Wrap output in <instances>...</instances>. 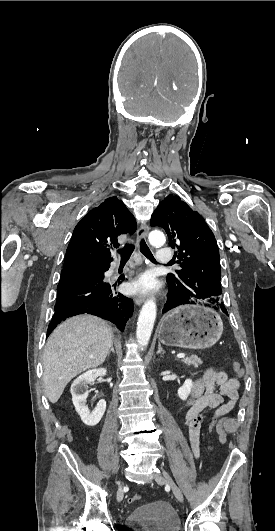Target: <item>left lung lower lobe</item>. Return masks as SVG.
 <instances>
[{
    "mask_svg": "<svg viewBox=\"0 0 275 531\" xmlns=\"http://www.w3.org/2000/svg\"><path fill=\"white\" fill-rule=\"evenodd\" d=\"M168 296H169V294H168ZM179 305H180V304H179ZM176 306H178V305L174 304V303L171 301L170 296H169V300H168L167 303L164 305L163 312L165 313V312L169 311L170 309H172V308H174V307H176ZM224 312L228 315L226 309H225Z\"/></svg>",
    "mask_w": 275,
    "mask_h": 531,
    "instance_id": "left-lung-lower-lobe-1",
    "label": "left lung lower lobe"
}]
</instances>
